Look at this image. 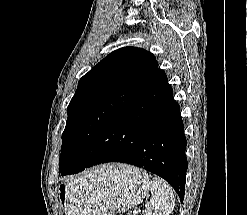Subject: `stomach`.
Instances as JSON below:
<instances>
[{"mask_svg":"<svg viewBox=\"0 0 247 215\" xmlns=\"http://www.w3.org/2000/svg\"><path fill=\"white\" fill-rule=\"evenodd\" d=\"M128 167L101 166L60 183L58 198L66 215H115L138 205L149 191V176Z\"/></svg>","mask_w":247,"mask_h":215,"instance_id":"stomach-1","label":"stomach"}]
</instances>
